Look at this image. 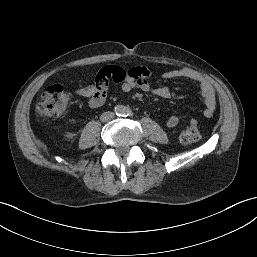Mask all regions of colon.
Returning <instances> with one entry per match:
<instances>
[{"instance_id": "1", "label": "colon", "mask_w": 257, "mask_h": 257, "mask_svg": "<svg viewBox=\"0 0 257 257\" xmlns=\"http://www.w3.org/2000/svg\"><path fill=\"white\" fill-rule=\"evenodd\" d=\"M95 83L99 89L108 86V79L102 75L96 76ZM70 103V94L61 84H55L47 88L41 95L36 108V114L43 119H51L61 116ZM200 138L199 128L189 126L182 130L179 135L180 143L189 145L195 143Z\"/></svg>"}]
</instances>
